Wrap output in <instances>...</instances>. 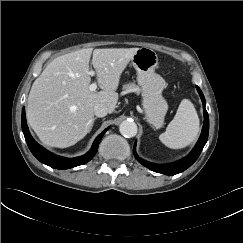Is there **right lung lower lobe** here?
<instances>
[{
    "mask_svg": "<svg viewBox=\"0 0 243 243\" xmlns=\"http://www.w3.org/2000/svg\"><path fill=\"white\" fill-rule=\"evenodd\" d=\"M22 130H23L24 137H25V140L27 142V145H28L30 151L40 162H42L52 168H55V169H69V168H73V167H76L79 165H83L94 157V155L97 152L99 143H100L103 135L105 134V132L108 130V128L105 129L101 134H99V136H97V138L95 139V141L92 145L91 150L87 154L80 156V157L71 158V159L54 155L53 153L47 151L42 146H40L32 138L31 134L29 133L27 124H26L24 109L22 110Z\"/></svg>",
    "mask_w": 243,
    "mask_h": 243,
    "instance_id": "obj_1",
    "label": "right lung lower lobe"
}]
</instances>
